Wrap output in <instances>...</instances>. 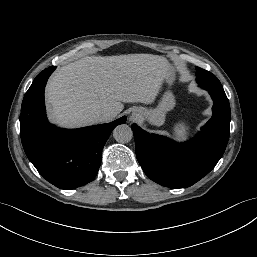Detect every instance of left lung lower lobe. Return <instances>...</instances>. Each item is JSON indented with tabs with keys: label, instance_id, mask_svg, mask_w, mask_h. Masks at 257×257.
I'll list each match as a JSON object with an SVG mask.
<instances>
[{
	"label": "left lung lower lobe",
	"instance_id": "0a47b994",
	"mask_svg": "<svg viewBox=\"0 0 257 257\" xmlns=\"http://www.w3.org/2000/svg\"><path fill=\"white\" fill-rule=\"evenodd\" d=\"M208 91L214 101L213 116L190 142L177 144L131 125L138 162L151 180L186 188L208 174L222 157L229 139L230 105L224 90Z\"/></svg>",
	"mask_w": 257,
	"mask_h": 257
}]
</instances>
